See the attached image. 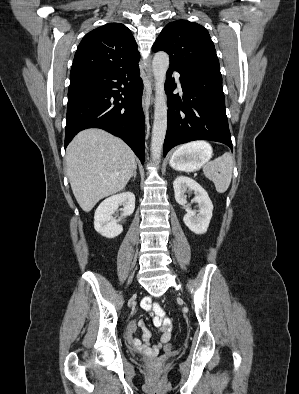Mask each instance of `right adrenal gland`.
Here are the masks:
<instances>
[{
    "instance_id": "1",
    "label": "right adrenal gland",
    "mask_w": 299,
    "mask_h": 394,
    "mask_svg": "<svg viewBox=\"0 0 299 394\" xmlns=\"http://www.w3.org/2000/svg\"><path fill=\"white\" fill-rule=\"evenodd\" d=\"M137 176V167H135L132 177L136 178Z\"/></svg>"
}]
</instances>
